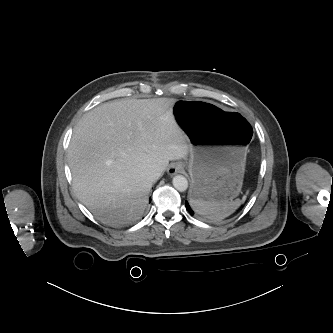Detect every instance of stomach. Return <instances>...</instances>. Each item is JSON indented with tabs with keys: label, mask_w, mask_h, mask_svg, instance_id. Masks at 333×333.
I'll use <instances>...</instances> for the list:
<instances>
[{
	"label": "stomach",
	"mask_w": 333,
	"mask_h": 333,
	"mask_svg": "<svg viewBox=\"0 0 333 333\" xmlns=\"http://www.w3.org/2000/svg\"><path fill=\"white\" fill-rule=\"evenodd\" d=\"M173 114L189 144L191 198L233 201L243 184L250 124L237 111L197 99L177 101Z\"/></svg>",
	"instance_id": "obj_1"
}]
</instances>
